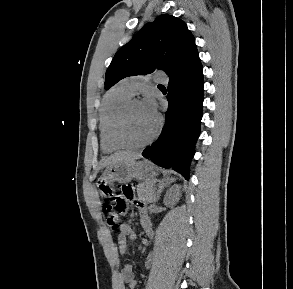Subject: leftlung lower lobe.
<instances>
[{"label": "left lung lower lobe", "mask_w": 293, "mask_h": 289, "mask_svg": "<svg viewBox=\"0 0 293 289\" xmlns=\"http://www.w3.org/2000/svg\"><path fill=\"white\" fill-rule=\"evenodd\" d=\"M197 54L169 78L165 125L157 141L142 155L155 164L172 168L189 179V165L200 134L204 81Z\"/></svg>", "instance_id": "1"}]
</instances>
